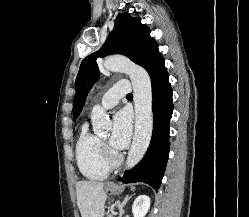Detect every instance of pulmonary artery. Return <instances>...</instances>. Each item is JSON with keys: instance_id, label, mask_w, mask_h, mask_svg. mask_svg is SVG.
<instances>
[{"instance_id": "e3ab8cb5", "label": "pulmonary artery", "mask_w": 249, "mask_h": 217, "mask_svg": "<svg viewBox=\"0 0 249 217\" xmlns=\"http://www.w3.org/2000/svg\"><path fill=\"white\" fill-rule=\"evenodd\" d=\"M130 92V84L128 81L123 80L117 82L111 87L101 98V105L105 109L114 107L120 98L125 97Z\"/></svg>"}]
</instances>
